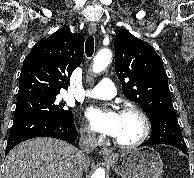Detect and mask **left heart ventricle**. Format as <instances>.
Instances as JSON below:
<instances>
[{"label": "left heart ventricle", "instance_id": "obj_1", "mask_svg": "<svg viewBox=\"0 0 194 178\" xmlns=\"http://www.w3.org/2000/svg\"><path fill=\"white\" fill-rule=\"evenodd\" d=\"M119 129L114 136L122 142H132L136 140L142 132V123L140 119L131 113L119 114Z\"/></svg>", "mask_w": 194, "mask_h": 178}]
</instances>
